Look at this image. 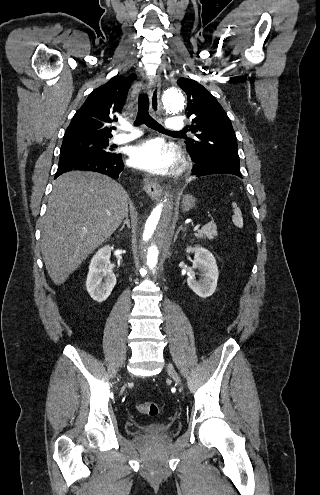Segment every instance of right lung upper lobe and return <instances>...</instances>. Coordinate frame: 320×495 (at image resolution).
Segmentation results:
<instances>
[{
    "label": "right lung upper lobe",
    "mask_w": 320,
    "mask_h": 495,
    "mask_svg": "<svg viewBox=\"0 0 320 495\" xmlns=\"http://www.w3.org/2000/svg\"><path fill=\"white\" fill-rule=\"evenodd\" d=\"M135 78V74L117 75L94 89L73 116L64 140L111 138L110 124L117 121L116 115L122 111L130 83Z\"/></svg>",
    "instance_id": "obj_1"
}]
</instances>
